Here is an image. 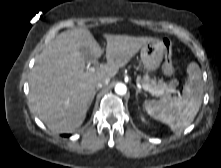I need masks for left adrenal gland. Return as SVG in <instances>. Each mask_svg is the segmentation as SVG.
Returning <instances> with one entry per match:
<instances>
[{
  "mask_svg": "<svg viewBox=\"0 0 221 168\" xmlns=\"http://www.w3.org/2000/svg\"><path fill=\"white\" fill-rule=\"evenodd\" d=\"M134 88L136 89V97H137L138 94L141 93L142 91L140 89L136 88L135 86H134Z\"/></svg>",
  "mask_w": 221,
  "mask_h": 168,
  "instance_id": "a2214340",
  "label": "left adrenal gland"
}]
</instances>
